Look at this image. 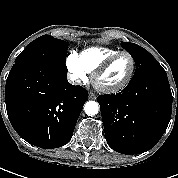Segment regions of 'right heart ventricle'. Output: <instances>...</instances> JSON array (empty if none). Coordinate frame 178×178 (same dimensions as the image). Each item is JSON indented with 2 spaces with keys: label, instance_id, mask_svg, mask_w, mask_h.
Here are the masks:
<instances>
[{
  "label": "right heart ventricle",
  "instance_id": "right-heart-ventricle-1",
  "mask_svg": "<svg viewBox=\"0 0 178 178\" xmlns=\"http://www.w3.org/2000/svg\"><path fill=\"white\" fill-rule=\"evenodd\" d=\"M118 52H120V50L113 48L90 47L81 51L78 55V59L88 73H93L104 60Z\"/></svg>",
  "mask_w": 178,
  "mask_h": 178
}]
</instances>
